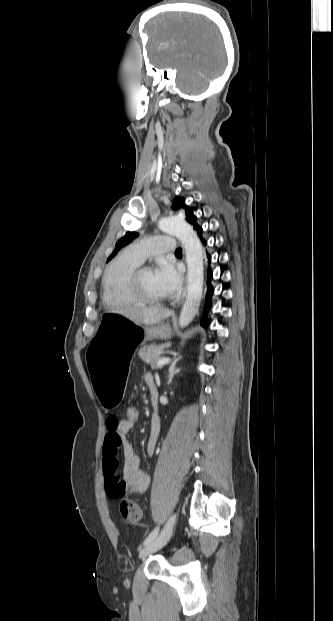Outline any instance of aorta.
I'll return each instance as SVG.
<instances>
[{
  "label": "aorta",
  "instance_id": "762f6f07",
  "mask_svg": "<svg viewBox=\"0 0 333 621\" xmlns=\"http://www.w3.org/2000/svg\"><path fill=\"white\" fill-rule=\"evenodd\" d=\"M159 228L176 236L182 243L188 267L187 296L179 317V325L187 326L195 317L203 293V249L197 234L191 225L176 217L164 218Z\"/></svg>",
  "mask_w": 333,
  "mask_h": 621
}]
</instances>
